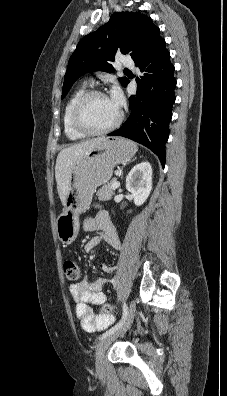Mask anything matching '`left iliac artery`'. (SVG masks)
Instances as JSON below:
<instances>
[{"label":"left iliac artery","instance_id":"left-iliac-artery-1","mask_svg":"<svg viewBox=\"0 0 227 396\" xmlns=\"http://www.w3.org/2000/svg\"><path fill=\"white\" fill-rule=\"evenodd\" d=\"M122 309H123V313H122V318H121V320H120L115 326H113L112 328H110L109 330H107L105 333H103V334L99 337L100 340H102V339L105 338L106 336L112 334L113 332H115L116 330H118V329L123 325V323H124V321H125V319H126V317H127V314H128V307H127L126 303L123 304Z\"/></svg>","mask_w":227,"mask_h":396}]
</instances>
